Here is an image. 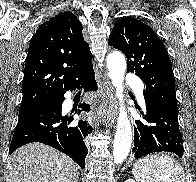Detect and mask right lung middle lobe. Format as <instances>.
Returning a JSON list of instances; mask_svg holds the SVG:
<instances>
[{
  "label": "right lung middle lobe",
  "mask_w": 196,
  "mask_h": 182,
  "mask_svg": "<svg viewBox=\"0 0 196 182\" xmlns=\"http://www.w3.org/2000/svg\"><path fill=\"white\" fill-rule=\"evenodd\" d=\"M52 99L43 101V102H39V103H35V104H30V105H21L20 107V111H19V115L39 109L44 107L45 105L49 104L51 102Z\"/></svg>",
  "instance_id": "right-lung-middle-lobe-1"
}]
</instances>
